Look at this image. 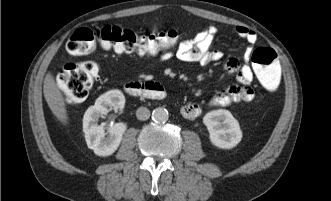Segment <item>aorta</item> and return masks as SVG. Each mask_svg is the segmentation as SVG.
<instances>
[{
    "mask_svg": "<svg viewBox=\"0 0 331 201\" xmlns=\"http://www.w3.org/2000/svg\"><path fill=\"white\" fill-rule=\"evenodd\" d=\"M169 114L167 109L163 107H157L152 112V119L155 122L164 123L168 120Z\"/></svg>",
    "mask_w": 331,
    "mask_h": 201,
    "instance_id": "762f6f07",
    "label": "aorta"
}]
</instances>
